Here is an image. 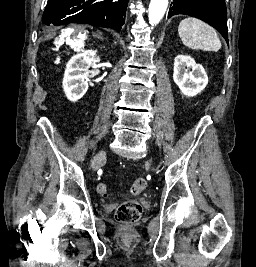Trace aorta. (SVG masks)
I'll return each mask as SVG.
<instances>
[{"mask_svg": "<svg viewBox=\"0 0 256 267\" xmlns=\"http://www.w3.org/2000/svg\"><path fill=\"white\" fill-rule=\"evenodd\" d=\"M169 0H151L148 8L149 24L157 26L164 18V14L168 8Z\"/></svg>", "mask_w": 256, "mask_h": 267, "instance_id": "aorta-1", "label": "aorta"}]
</instances>
